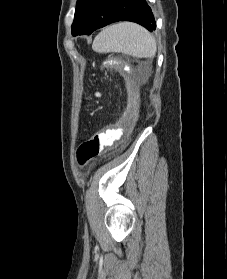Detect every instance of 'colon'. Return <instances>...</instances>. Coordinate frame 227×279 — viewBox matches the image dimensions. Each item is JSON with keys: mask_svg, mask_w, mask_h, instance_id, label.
<instances>
[{"mask_svg": "<svg viewBox=\"0 0 227 279\" xmlns=\"http://www.w3.org/2000/svg\"><path fill=\"white\" fill-rule=\"evenodd\" d=\"M114 137L115 134L109 129H103L87 138L77 149L76 157L78 164L85 165L98 157L105 148L112 145Z\"/></svg>", "mask_w": 227, "mask_h": 279, "instance_id": "5ec220e1", "label": "colon"}]
</instances>
